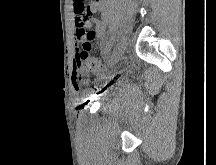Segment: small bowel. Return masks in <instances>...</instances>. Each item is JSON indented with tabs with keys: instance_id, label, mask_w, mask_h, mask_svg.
<instances>
[{
	"instance_id": "1",
	"label": "small bowel",
	"mask_w": 216,
	"mask_h": 165,
	"mask_svg": "<svg viewBox=\"0 0 216 165\" xmlns=\"http://www.w3.org/2000/svg\"><path fill=\"white\" fill-rule=\"evenodd\" d=\"M73 12L74 20L76 26V38L78 41H82L81 32L83 30H92L95 33V36H101L105 33V21L99 20L97 18L90 17L89 19L83 18V13H95L102 12L103 19H106L107 12L104 0H93L91 5H86L84 0H73ZM94 36V37H95ZM94 37L91 39L93 40ZM89 40V42L91 41ZM77 64V61H76ZM81 76L78 74L74 76L73 87L74 90L80 92Z\"/></svg>"
}]
</instances>
